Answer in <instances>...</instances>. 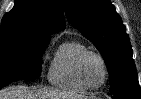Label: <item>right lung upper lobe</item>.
<instances>
[{"mask_svg":"<svg viewBox=\"0 0 141 99\" xmlns=\"http://www.w3.org/2000/svg\"><path fill=\"white\" fill-rule=\"evenodd\" d=\"M65 28L61 0H15L2 18L0 36L31 37L43 41Z\"/></svg>","mask_w":141,"mask_h":99,"instance_id":"1","label":"right lung upper lobe"}]
</instances>
